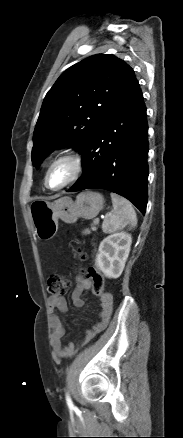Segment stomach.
I'll list each match as a JSON object with an SVG mask.
<instances>
[{"label":"stomach","mask_w":183,"mask_h":438,"mask_svg":"<svg viewBox=\"0 0 183 438\" xmlns=\"http://www.w3.org/2000/svg\"><path fill=\"white\" fill-rule=\"evenodd\" d=\"M104 198L92 191L80 193L76 200L62 197L54 202L35 200L29 206V214L38 239H52L58 231V220L72 224L78 218L92 219L102 210Z\"/></svg>","instance_id":"1"}]
</instances>
